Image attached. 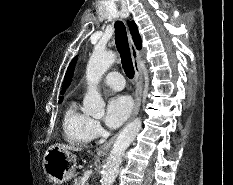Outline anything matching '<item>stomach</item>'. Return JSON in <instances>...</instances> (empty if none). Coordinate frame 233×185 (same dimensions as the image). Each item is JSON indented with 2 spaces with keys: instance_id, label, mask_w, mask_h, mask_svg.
<instances>
[{
  "instance_id": "stomach-1",
  "label": "stomach",
  "mask_w": 233,
  "mask_h": 185,
  "mask_svg": "<svg viewBox=\"0 0 233 185\" xmlns=\"http://www.w3.org/2000/svg\"><path fill=\"white\" fill-rule=\"evenodd\" d=\"M43 169L53 185H61L75 176L76 156L69 150L52 145L43 156Z\"/></svg>"
}]
</instances>
